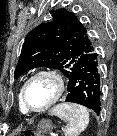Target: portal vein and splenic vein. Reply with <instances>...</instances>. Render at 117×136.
<instances>
[{"mask_svg":"<svg viewBox=\"0 0 117 136\" xmlns=\"http://www.w3.org/2000/svg\"><path fill=\"white\" fill-rule=\"evenodd\" d=\"M51 136H57L54 132L50 133Z\"/></svg>","mask_w":117,"mask_h":136,"instance_id":"portal-vein-and-splenic-vein-1","label":"portal vein and splenic vein"}]
</instances>
